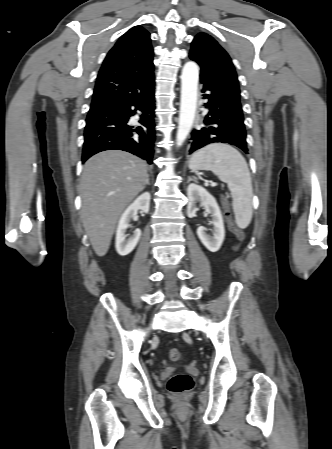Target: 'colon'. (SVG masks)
Listing matches in <instances>:
<instances>
[{
	"label": "colon",
	"mask_w": 332,
	"mask_h": 449,
	"mask_svg": "<svg viewBox=\"0 0 332 449\" xmlns=\"http://www.w3.org/2000/svg\"><path fill=\"white\" fill-rule=\"evenodd\" d=\"M221 201H222V206L224 209L225 219L227 220L228 224L231 226V228L235 232V235H236L238 241L241 242L244 239V233L241 229H239L233 225L232 213H231L229 202H228L227 198H225V197H223ZM237 248H238V246L235 247V249H237ZM168 355H169V358L175 362L180 361L182 358L181 352L177 348H171L169 350ZM193 384H194L193 379L189 374L177 373L169 379L168 390L174 395H183V394L191 391V389L193 388Z\"/></svg>",
	"instance_id": "1"
}]
</instances>
